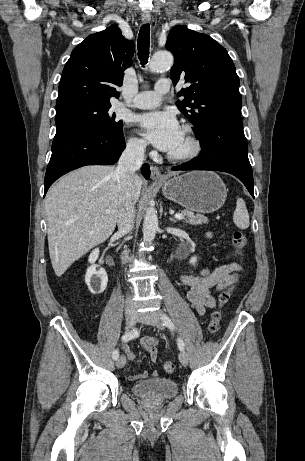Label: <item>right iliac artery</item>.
<instances>
[{
	"label": "right iliac artery",
	"instance_id": "1",
	"mask_svg": "<svg viewBox=\"0 0 305 461\" xmlns=\"http://www.w3.org/2000/svg\"><path fill=\"white\" fill-rule=\"evenodd\" d=\"M138 335H139V330H138V329H133L132 331L125 333V334L122 336L121 340L124 341V342H126V341H129V340L134 339V338L137 337ZM112 356H113V359H114V360H117L118 357H119V351H118L117 349L114 350Z\"/></svg>",
	"mask_w": 305,
	"mask_h": 461
}]
</instances>
